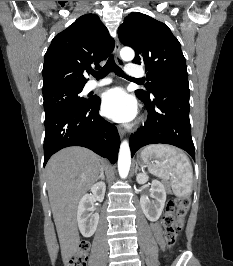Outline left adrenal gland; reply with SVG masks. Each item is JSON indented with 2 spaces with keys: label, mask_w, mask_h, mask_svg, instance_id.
I'll return each instance as SVG.
<instances>
[{
  "label": "left adrenal gland",
  "mask_w": 233,
  "mask_h": 266,
  "mask_svg": "<svg viewBox=\"0 0 233 266\" xmlns=\"http://www.w3.org/2000/svg\"><path fill=\"white\" fill-rule=\"evenodd\" d=\"M139 169L138 165H136V169H135V172H137V170ZM143 170V169H142Z\"/></svg>",
  "instance_id": "left-adrenal-gland-1"
}]
</instances>
